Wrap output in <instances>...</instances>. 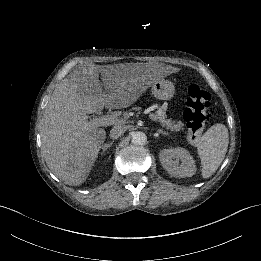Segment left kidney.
I'll list each match as a JSON object with an SVG mask.
<instances>
[{
  "instance_id": "obj_1",
  "label": "left kidney",
  "mask_w": 261,
  "mask_h": 261,
  "mask_svg": "<svg viewBox=\"0 0 261 261\" xmlns=\"http://www.w3.org/2000/svg\"><path fill=\"white\" fill-rule=\"evenodd\" d=\"M162 167L174 177H191L195 172L194 160L182 148L164 149L159 152Z\"/></svg>"
}]
</instances>
